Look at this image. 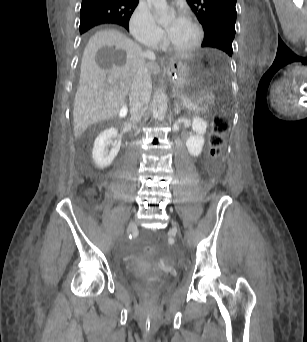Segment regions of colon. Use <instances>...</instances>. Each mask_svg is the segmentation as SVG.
<instances>
[{
    "label": "colon",
    "mask_w": 307,
    "mask_h": 342,
    "mask_svg": "<svg viewBox=\"0 0 307 342\" xmlns=\"http://www.w3.org/2000/svg\"><path fill=\"white\" fill-rule=\"evenodd\" d=\"M229 129L227 118L217 115L214 118L213 128L209 134V150L208 154L211 159L215 160L220 157L221 149L224 144V135ZM161 249L158 246H144L142 251L148 253L150 257H156Z\"/></svg>",
    "instance_id": "5ec220e1"
}]
</instances>
